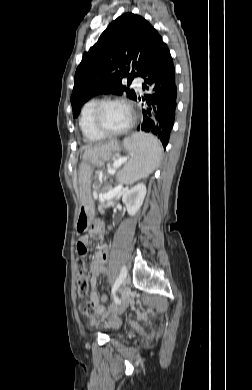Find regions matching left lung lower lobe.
Segmentation results:
<instances>
[{
    "label": "left lung lower lobe",
    "mask_w": 252,
    "mask_h": 390,
    "mask_svg": "<svg viewBox=\"0 0 252 390\" xmlns=\"http://www.w3.org/2000/svg\"><path fill=\"white\" fill-rule=\"evenodd\" d=\"M141 77L143 90L148 92L142 100L148 107L142 110L144 119L138 130L155 135L165 149L176 114L177 82L173 59L164 42Z\"/></svg>",
    "instance_id": "1"
}]
</instances>
